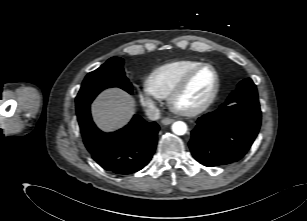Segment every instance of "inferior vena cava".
<instances>
[{
    "instance_id": "602c4592",
    "label": "inferior vena cava",
    "mask_w": 307,
    "mask_h": 221,
    "mask_svg": "<svg viewBox=\"0 0 307 221\" xmlns=\"http://www.w3.org/2000/svg\"><path fill=\"white\" fill-rule=\"evenodd\" d=\"M146 115L150 120L155 121L160 118V111L157 107L152 106L146 109Z\"/></svg>"
}]
</instances>
